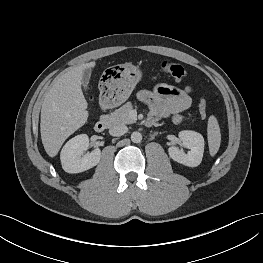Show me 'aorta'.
Wrapping results in <instances>:
<instances>
[{"instance_id": "762f6f07", "label": "aorta", "mask_w": 263, "mask_h": 263, "mask_svg": "<svg viewBox=\"0 0 263 263\" xmlns=\"http://www.w3.org/2000/svg\"><path fill=\"white\" fill-rule=\"evenodd\" d=\"M131 140L134 143H140L142 140V134L140 132H137V131L133 132L131 134Z\"/></svg>"}]
</instances>
